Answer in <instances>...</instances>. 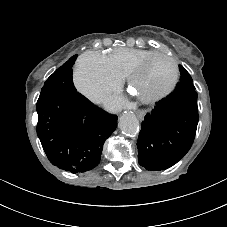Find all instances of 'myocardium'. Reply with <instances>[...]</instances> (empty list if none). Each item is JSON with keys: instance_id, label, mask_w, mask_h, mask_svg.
Returning <instances> with one entry per match:
<instances>
[{"instance_id": "1", "label": "myocardium", "mask_w": 227, "mask_h": 227, "mask_svg": "<svg viewBox=\"0 0 227 227\" xmlns=\"http://www.w3.org/2000/svg\"><path fill=\"white\" fill-rule=\"evenodd\" d=\"M159 57H164L171 61L172 65H173L172 79H171L170 83L164 89H162L158 92H154V93L146 95V96L136 95L137 98L143 103H154V102L161 100L162 98L166 97L169 93H171L178 83L179 67H178V63H177L176 59L172 55H169L167 53L156 52V53L146 57L145 59H143L130 71V73L127 77L129 88L132 91H134L136 81H137L138 77L143 73L145 67L151 61H153L154 59L159 58Z\"/></svg>"}]
</instances>
